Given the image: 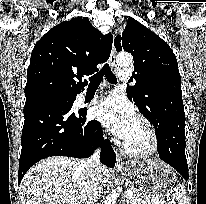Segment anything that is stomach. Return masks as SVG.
<instances>
[{
    "instance_id": "1",
    "label": "stomach",
    "mask_w": 206,
    "mask_h": 204,
    "mask_svg": "<svg viewBox=\"0 0 206 204\" xmlns=\"http://www.w3.org/2000/svg\"><path fill=\"white\" fill-rule=\"evenodd\" d=\"M123 175L142 199H161L168 195L176 180L172 168L160 160L132 161L126 166Z\"/></svg>"
}]
</instances>
